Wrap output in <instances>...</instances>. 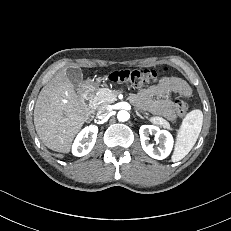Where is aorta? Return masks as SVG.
Returning <instances> with one entry per match:
<instances>
[{"label": "aorta", "instance_id": "1", "mask_svg": "<svg viewBox=\"0 0 231 231\" xmlns=\"http://www.w3.org/2000/svg\"><path fill=\"white\" fill-rule=\"evenodd\" d=\"M117 118L119 121H127L129 119V113L125 110H120L117 114Z\"/></svg>", "mask_w": 231, "mask_h": 231}]
</instances>
